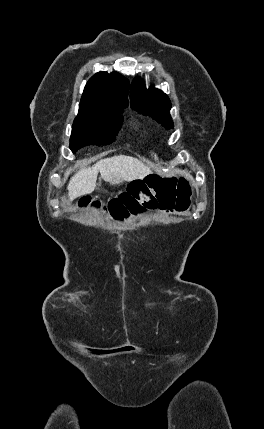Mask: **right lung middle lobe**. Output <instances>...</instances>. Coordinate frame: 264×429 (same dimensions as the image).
Listing matches in <instances>:
<instances>
[{
  "mask_svg": "<svg viewBox=\"0 0 264 429\" xmlns=\"http://www.w3.org/2000/svg\"><path fill=\"white\" fill-rule=\"evenodd\" d=\"M126 107L127 105L80 103L70 139L72 152L90 144L112 143L123 120L121 113Z\"/></svg>",
  "mask_w": 264,
  "mask_h": 429,
  "instance_id": "1",
  "label": "right lung middle lobe"
}]
</instances>
